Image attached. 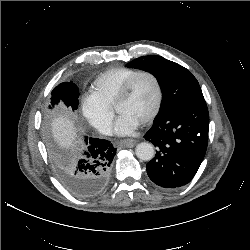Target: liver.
<instances>
[{"label":"liver","mask_w":250,"mask_h":250,"mask_svg":"<svg viewBox=\"0 0 250 250\" xmlns=\"http://www.w3.org/2000/svg\"><path fill=\"white\" fill-rule=\"evenodd\" d=\"M52 134L61 148L69 149L77 143V130L74 121L67 115H59L52 120Z\"/></svg>","instance_id":"1"}]
</instances>
